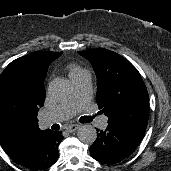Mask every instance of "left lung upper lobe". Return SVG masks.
I'll return each mask as SVG.
<instances>
[{
	"mask_svg": "<svg viewBox=\"0 0 171 171\" xmlns=\"http://www.w3.org/2000/svg\"><path fill=\"white\" fill-rule=\"evenodd\" d=\"M97 75L96 102L108 126L142 139L149 118V97L137 69L119 54L101 48L78 52Z\"/></svg>",
	"mask_w": 171,
	"mask_h": 171,
	"instance_id": "1",
	"label": "left lung upper lobe"
}]
</instances>
